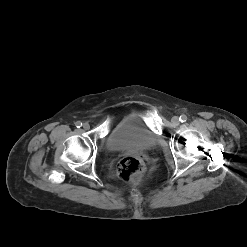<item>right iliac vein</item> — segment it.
Returning a JSON list of instances; mask_svg holds the SVG:
<instances>
[{
    "label": "right iliac vein",
    "mask_w": 247,
    "mask_h": 247,
    "mask_svg": "<svg viewBox=\"0 0 247 247\" xmlns=\"http://www.w3.org/2000/svg\"><path fill=\"white\" fill-rule=\"evenodd\" d=\"M83 128H84V130H89L90 129V125L88 123H84L83 124Z\"/></svg>",
    "instance_id": "63e3f726"
}]
</instances>
